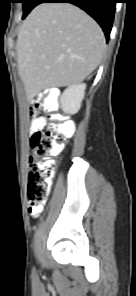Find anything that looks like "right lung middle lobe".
Instances as JSON below:
<instances>
[{"mask_svg": "<svg viewBox=\"0 0 136 296\" xmlns=\"http://www.w3.org/2000/svg\"><path fill=\"white\" fill-rule=\"evenodd\" d=\"M23 3V17L22 19H24L27 14L35 7L37 6L39 3V0H22L21 1Z\"/></svg>", "mask_w": 136, "mask_h": 296, "instance_id": "obj_1", "label": "right lung middle lobe"}]
</instances>
